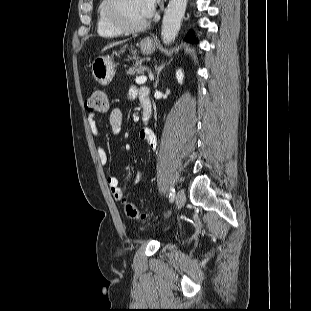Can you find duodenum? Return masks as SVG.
<instances>
[{
    "label": "duodenum",
    "mask_w": 311,
    "mask_h": 311,
    "mask_svg": "<svg viewBox=\"0 0 311 311\" xmlns=\"http://www.w3.org/2000/svg\"><path fill=\"white\" fill-rule=\"evenodd\" d=\"M142 107H143V119L145 122H148L151 117V103L149 100H143L142 101Z\"/></svg>",
    "instance_id": "410a0bca"
}]
</instances>
